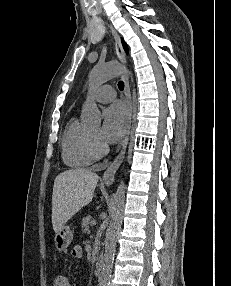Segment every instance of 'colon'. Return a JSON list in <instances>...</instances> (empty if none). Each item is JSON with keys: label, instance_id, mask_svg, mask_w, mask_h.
<instances>
[{"label": "colon", "instance_id": "obj_1", "mask_svg": "<svg viewBox=\"0 0 231 286\" xmlns=\"http://www.w3.org/2000/svg\"><path fill=\"white\" fill-rule=\"evenodd\" d=\"M53 286H71V283L65 275H57L53 280Z\"/></svg>", "mask_w": 231, "mask_h": 286}]
</instances>
